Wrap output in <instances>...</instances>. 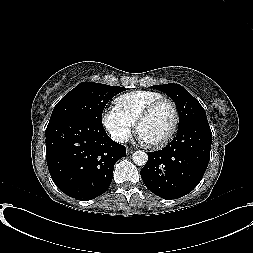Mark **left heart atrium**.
<instances>
[{"label":"left heart atrium","mask_w":253,"mask_h":253,"mask_svg":"<svg viewBox=\"0 0 253 253\" xmlns=\"http://www.w3.org/2000/svg\"><path fill=\"white\" fill-rule=\"evenodd\" d=\"M137 139L142 143H148V141L145 139V137L143 135H141L139 132L137 135Z\"/></svg>","instance_id":"left-heart-atrium-1"}]
</instances>
